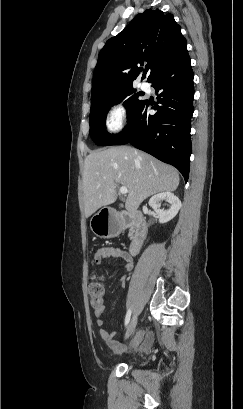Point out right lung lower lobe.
I'll list each match as a JSON object with an SVG mask.
<instances>
[{
    "mask_svg": "<svg viewBox=\"0 0 243 409\" xmlns=\"http://www.w3.org/2000/svg\"><path fill=\"white\" fill-rule=\"evenodd\" d=\"M193 76L186 45L150 81L159 105L150 106L143 100L109 145L130 143L176 167L187 182L192 150ZM152 108L157 110L154 115L149 114Z\"/></svg>",
    "mask_w": 243,
    "mask_h": 409,
    "instance_id": "obj_1",
    "label": "right lung lower lobe"
}]
</instances>
